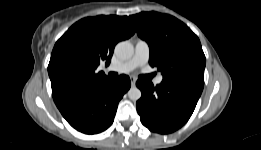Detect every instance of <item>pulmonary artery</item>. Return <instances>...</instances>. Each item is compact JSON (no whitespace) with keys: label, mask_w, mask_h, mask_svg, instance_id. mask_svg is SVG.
<instances>
[{"label":"pulmonary artery","mask_w":261,"mask_h":150,"mask_svg":"<svg viewBox=\"0 0 261 150\" xmlns=\"http://www.w3.org/2000/svg\"><path fill=\"white\" fill-rule=\"evenodd\" d=\"M150 57V48L146 41L138 40L135 45L133 56L125 62L110 67V70L120 73H128L137 67L145 65ZM163 80L162 75L155 79V84H160Z\"/></svg>","instance_id":"1"}]
</instances>
